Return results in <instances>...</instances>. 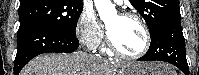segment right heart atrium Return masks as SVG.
Wrapping results in <instances>:
<instances>
[{
  "label": "right heart atrium",
  "mask_w": 199,
  "mask_h": 75,
  "mask_svg": "<svg viewBox=\"0 0 199 75\" xmlns=\"http://www.w3.org/2000/svg\"><path fill=\"white\" fill-rule=\"evenodd\" d=\"M80 41L88 48H97L103 40V31L92 11H83L76 28Z\"/></svg>",
  "instance_id": "d8ad5b80"
}]
</instances>
